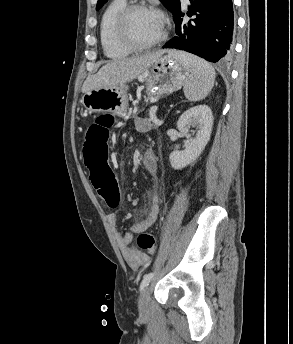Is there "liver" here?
<instances>
[{"instance_id":"1","label":"liver","mask_w":293,"mask_h":344,"mask_svg":"<svg viewBox=\"0 0 293 344\" xmlns=\"http://www.w3.org/2000/svg\"><path fill=\"white\" fill-rule=\"evenodd\" d=\"M164 51L148 53L138 57L110 61L94 75H89L82 86V92L94 89L116 88L137 78L148 69Z\"/></svg>"}]
</instances>
